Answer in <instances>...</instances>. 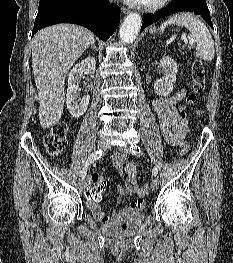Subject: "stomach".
I'll return each instance as SVG.
<instances>
[{"mask_svg": "<svg viewBox=\"0 0 233 263\" xmlns=\"http://www.w3.org/2000/svg\"><path fill=\"white\" fill-rule=\"evenodd\" d=\"M156 32H157V29L155 26L150 28V33H156Z\"/></svg>", "mask_w": 233, "mask_h": 263, "instance_id": "obj_1", "label": "stomach"}]
</instances>
